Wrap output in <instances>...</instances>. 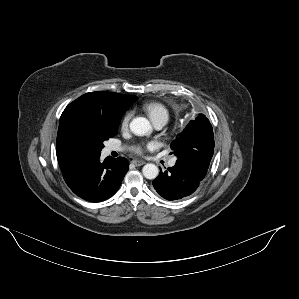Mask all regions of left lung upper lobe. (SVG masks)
Listing matches in <instances>:
<instances>
[{"mask_svg": "<svg viewBox=\"0 0 299 299\" xmlns=\"http://www.w3.org/2000/svg\"><path fill=\"white\" fill-rule=\"evenodd\" d=\"M179 160L192 162L208 169L214 153V134L210 121L198 114L170 144Z\"/></svg>", "mask_w": 299, "mask_h": 299, "instance_id": "5c2ea615", "label": "left lung upper lobe"}]
</instances>
